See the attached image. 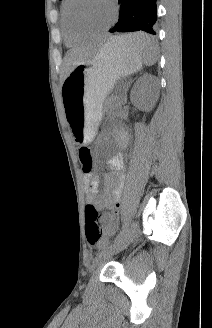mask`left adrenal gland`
<instances>
[{"label":"left adrenal gland","mask_w":212,"mask_h":328,"mask_svg":"<svg viewBox=\"0 0 212 328\" xmlns=\"http://www.w3.org/2000/svg\"><path fill=\"white\" fill-rule=\"evenodd\" d=\"M129 86H130V82L127 83V85L125 87V90H124V94H125V96H124V102L125 103L127 102V90L129 88Z\"/></svg>","instance_id":"1"}]
</instances>
